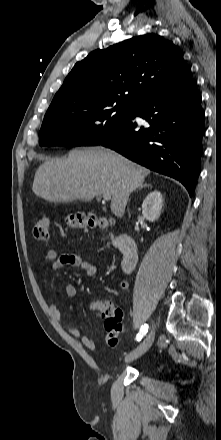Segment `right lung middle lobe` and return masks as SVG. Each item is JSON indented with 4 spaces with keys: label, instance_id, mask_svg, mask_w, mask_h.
Listing matches in <instances>:
<instances>
[{
    "label": "right lung middle lobe",
    "instance_id": "obj_1",
    "mask_svg": "<svg viewBox=\"0 0 221 440\" xmlns=\"http://www.w3.org/2000/svg\"><path fill=\"white\" fill-rule=\"evenodd\" d=\"M134 107L118 103L73 105L47 111L39 132L40 146L100 145L130 117Z\"/></svg>",
    "mask_w": 221,
    "mask_h": 440
}]
</instances>
